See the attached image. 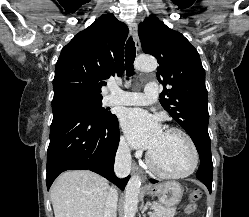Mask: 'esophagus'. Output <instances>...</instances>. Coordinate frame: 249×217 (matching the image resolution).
<instances>
[{"instance_id":"obj_1","label":"esophagus","mask_w":249,"mask_h":217,"mask_svg":"<svg viewBox=\"0 0 249 217\" xmlns=\"http://www.w3.org/2000/svg\"><path fill=\"white\" fill-rule=\"evenodd\" d=\"M129 29H130V32H131V34L133 36V39L135 41L136 49L139 50L140 49V43H139L138 37H137V24H136V22H134V21L130 22L129 23ZM132 170L134 172H138L139 171V167H138V165L136 163L132 164ZM142 180L144 181L145 178L142 177Z\"/></svg>"}]
</instances>
